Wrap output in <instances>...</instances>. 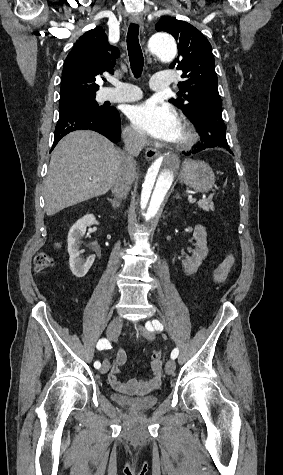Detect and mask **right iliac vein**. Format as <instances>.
Listing matches in <instances>:
<instances>
[{"mask_svg": "<svg viewBox=\"0 0 283 475\" xmlns=\"http://www.w3.org/2000/svg\"><path fill=\"white\" fill-rule=\"evenodd\" d=\"M122 324L123 322L121 317H116L109 323L106 334L110 340H115L118 337L122 329ZM109 368V362L107 360H104L100 372L106 373L108 372Z\"/></svg>", "mask_w": 283, "mask_h": 475, "instance_id": "1", "label": "right iliac vein"}]
</instances>
